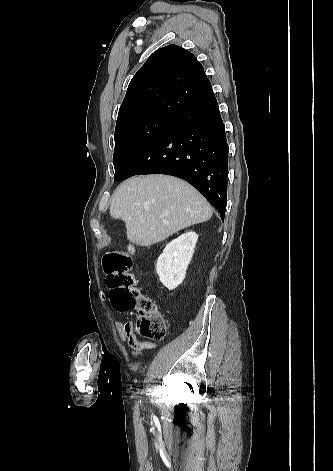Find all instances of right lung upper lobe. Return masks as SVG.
Returning <instances> with one entry per match:
<instances>
[{
    "label": "right lung upper lobe",
    "mask_w": 333,
    "mask_h": 471,
    "mask_svg": "<svg viewBox=\"0 0 333 471\" xmlns=\"http://www.w3.org/2000/svg\"><path fill=\"white\" fill-rule=\"evenodd\" d=\"M211 89L195 56L169 45L154 52L132 78L117 120L141 113L176 116Z\"/></svg>",
    "instance_id": "1"
}]
</instances>
